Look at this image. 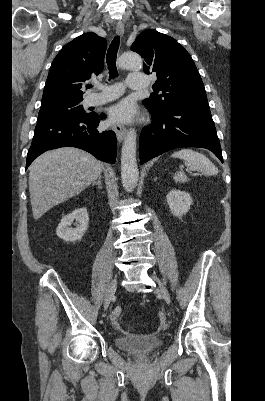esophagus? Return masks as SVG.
I'll list each match as a JSON object with an SVG mask.
<instances>
[{
    "instance_id": "obj_1",
    "label": "esophagus",
    "mask_w": 265,
    "mask_h": 401,
    "mask_svg": "<svg viewBox=\"0 0 265 401\" xmlns=\"http://www.w3.org/2000/svg\"><path fill=\"white\" fill-rule=\"evenodd\" d=\"M116 33H117V35H121V36L123 35L124 25L122 23H117ZM112 129L116 133L119 141H122L123 138L126 136V128L124 125H122L120 123H115V125H113Z\"/></svg>"
}]
</instances>
